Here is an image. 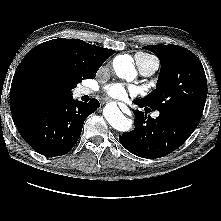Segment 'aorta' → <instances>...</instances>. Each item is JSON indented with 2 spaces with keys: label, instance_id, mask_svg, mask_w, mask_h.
<instances>
[{
  "label": "aorta",
  "instance_id": "1",
  "mask_svg": "<svg viewBox=\"0 0 221 221\" xmlns=\"http://www.w3.org/2000/svg\"><path fill=\"white\" fill-rule=\"evenodd\" d=\"M114 70L117 76L127 81L134 80L136 70L132 60L126 56H119L114 60ZM104 117L108 123L118 131L125 132L131 129L132 121L126 118L116 104L110 103L104 108Z\"/></svg>",
  "mask_w": 221,
  "mask_h": 221
}]
</instances>
